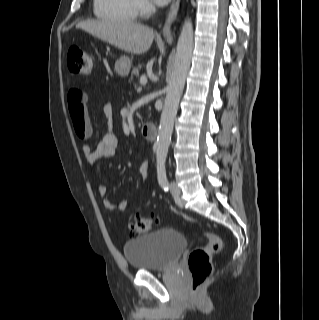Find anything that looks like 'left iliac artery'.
Segmentation results:
<instances>
[{
	"label": "left iliac artery",
	"mask_w": 319,
	"mask_h": 320,
	"mask_svg": "<svg viewBox=\"0 0 319 320\" xmlns=\"http://www.w3.org/2000/svg\"><path fill=\"white\" fill-rule=\"evenodd\" d=\"M157 174H158V182L160 186L164 189V191H168L169 187H168V180L166 176L165 166H158Z\"/></svg>",
	"instance_id": "left-iliac-artery-1"
}]
</instances>
